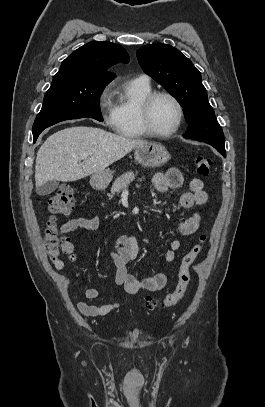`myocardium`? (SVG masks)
I'll return each instance as SVG.
<instances>
[{
  "instance_id": "f54148a6",
  "label": "myocardium",
  "mask_w": 265,
  "mask_h": 407,
  "mask_svg": "<svg viewBox=\"0 0 265 407\" xmlns=\"http://www.w3.org/2000/svg\"><path fill=\"white\" fill-rule=\"evenodd\" d=\"M161 96L170 98L176 105L178 109V118L173 128L168 131L160 132L153 128L151 123V107L154 101ZM184 107L181 101L173 93L169 91H155L150 93L141 103L139 108V120L142 128L147 133V135L157 137V138H167L174 135L181 127L184 120Z\"/></svg>"
}]
</instances>
